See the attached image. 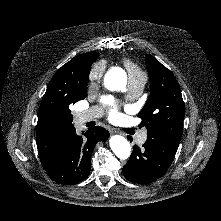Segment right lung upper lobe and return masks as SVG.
I'll use <instances>...</instances> for the list:
<instances>
[{
	"label": "right lung upper lobe",
	"mask_w": 221,
	"mask_h": 221,
	"mask_svg": "<svg viewBox=\"0 0 221 221\" xmlns=\"http://www.w3.org/2000/svg\"><path fill=\"white\" fill-rule=\"evenodd\" d=\"M98 56V52L78 55L64 64L48 84L37 123V148L44 169L52 161L61 136L74 127L67 114V105L77 90L87 87L90 67Z\"/></svg>",
	"instance_id": "obj_1"
}]
</instances>
